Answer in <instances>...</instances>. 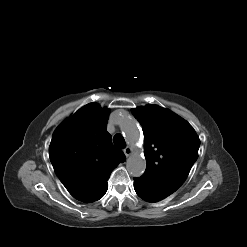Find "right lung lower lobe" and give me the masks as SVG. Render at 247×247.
<instances>
[{"mask_svg": "<svg viewBox=\"0 0 247 247\" xmlns=\"http://www.w3.org/2000/svg\"><path fill=\"white\" fill-rule=\"evenodd\" d=\"M107 189H108V185L101 191V193L92 202L97 201L100 198H102L104 194L106 193Z\"/></svg>", "mask_w": 247, "mask_h": 247, "instance_id": "right-lung-lower-lobe-1", "label": "right lung lower lobe"}]
</instances>
